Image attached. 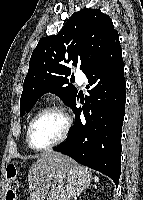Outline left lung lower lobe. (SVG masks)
Listing matches in <instances>:
<instances>
[{
    "label": "left lung lower lobe",
    "mask_w": 143,
    "mask_h": 200,
    "mask_svg": "<svg viewBox=\"0 0 143 200\" xmlns=\"http://www.w3.org/2000/svg\"><path fill=\"white\" fill-rule=\"evenodd\" d=\"M88 78L82 108L71 104L75 123L67 140L54 148L78 163L102 172L118 185L121 174V133L126 92L124 63L118 35L84 72Z\"/></svg>",
    "instance_id": "left-lung-lower-lobe-1"
}]
</instances>
